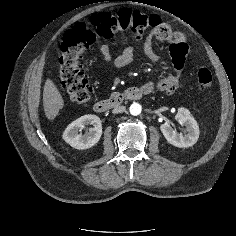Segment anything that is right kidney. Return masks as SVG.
<instances>
[{
	"label": "right kidney",
	"mask_w": 236,
	"mask_h": 236,
	"mask_svg": "<svg viewBox=\"0 0 236 236\" xmlns=\"http://www.w3.org/2000/svg\"><path fill=\"white\" fill-rule=\"evenodd\" d=\"M92 124L89 132L82 135L79 133L86 125ZM102 135L100 118L96 115H84L70 123L63 133V139L73 148L84 150L98 143Z\"/></svg>",
	"instance_id": "obj_1"
}]
</instances>
